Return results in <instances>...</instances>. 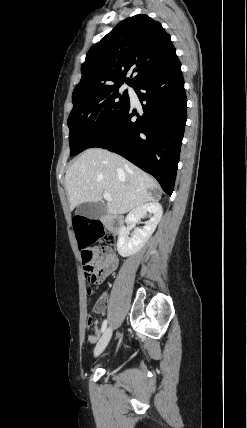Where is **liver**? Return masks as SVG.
Returning <instances> with one entry per match:
<instances>
[{
    "instance_id": "obj_1",
    "label": "liver",
    "mask_w": 247,
    "mask_h": 428,
    "mask_svg": "<svg viewBox=\"0 0 247 428\" xmlns=\"http://www.w3.org/2000/svg\"><path fill=\"white\" fill-rule=\"evenodd\" d=\"M65 186L70 210L85 202H98L103 193L111 195L108 214H125L155 202L149 189H158V183L147 173L125 158L101 148L84 151L68 168Z\"/></svg>"
}]
</instances>
